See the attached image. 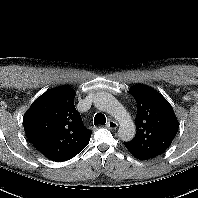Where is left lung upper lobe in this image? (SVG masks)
Returning <instances> with one entry per match:
<instances>
[{
    "label": "left lung upper lobe",
    "instance_id": "1",
    "mask_svg": "<svg viewBox=\"0 0 198 198\" xmlns=\"http://www.w3.org/2000/svg\"><path fill=\"white\" fill-rule=\"evenodd\" d=\"M129 93L138 106L136 135L124 145L144 154L161 155L169 148L179 128L171 105L160 93L142 84L132 86Z\"/></svg>",
    "mask_w": 198,
    "mask_h": 198
}]
</instances>
